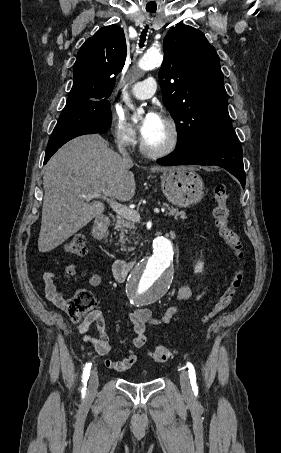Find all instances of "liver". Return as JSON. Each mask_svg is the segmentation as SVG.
Listing matches in <instances>:
<instances>
[{
	"mask_svg": "<svg viewBox=\"0 0 281 453\" xmlns=\"http://www.w3.org/2000/svg\"><path fill=\"white\" fill-rule=\"evenodd\" d=\"M131 166L133 162H125L100 134L77 136L61 146L44 166L40 253L56 249L104 212V202H89L82 194L103 192L110 198L130 200L136 188ZM173 168L152 166L150 170Z\"/></svg>",
	"mask_w": 281,
	"mask_h": 453,
	"instance_id": "1",
	"label": "liver"
}]
</instances>
